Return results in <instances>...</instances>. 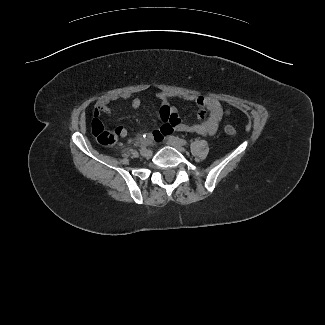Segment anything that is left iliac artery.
Wrapping results in <instances>:
<instances>
[{
  "label": "left iliac artery",
  "instance_id": "44dca946",
  "mask_svg": "<svg viewBox=\"0 0 325 325\" xmlns=\"http://www.w3.org/2000/svg\"><path fill=\"white\" fill-rule=\"evenodd\" d=\"M169 138H171L173 141H175L176 143H179L181 145H187V141L185 139H181V138L175 137V136H170Z\"/></svg>",
  "mask_w": 325,
  "mask_h": 325
}]
</instances>
